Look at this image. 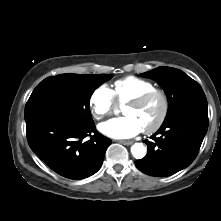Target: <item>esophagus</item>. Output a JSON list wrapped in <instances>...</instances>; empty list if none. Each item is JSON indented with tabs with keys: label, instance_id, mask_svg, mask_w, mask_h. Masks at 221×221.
<instances>
[{
	"label": "esophagus",
	"instance_id": "1",
	"mask_svg": "<svg viewBox=\"0 0 221 221\" xmlns=\"http://www.w3.org/2000/svg\"><path fill=\"white\" fill-rule=\"evenodd\" d=\"M119 143L128 146V145L133 144V141H131V140H120Z\"/></svg>",
	"mask_w": 221,
	"mask_h": 221
}]
</instances>
